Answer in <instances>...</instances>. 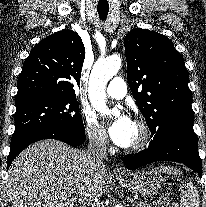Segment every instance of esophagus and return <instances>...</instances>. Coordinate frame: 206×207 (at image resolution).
<instances>
[{
	"label": "esophagus",
	"mask_w": 206,
	"mask_h": 207,
	"mask_svg": "<svg viewBox=\"0 0 206 207\" xmlns=\"http://www.w3.org/2000/svg\"><path fill=\"white\" fill-rule=\"evenodd\" d=\"M113 173L115 174V175H124V173H125V171H124V169L123 168H121L120 166H114V168H113Z\"/></svg>",
	"instance_id": "obj_1"
}]
</instances>
